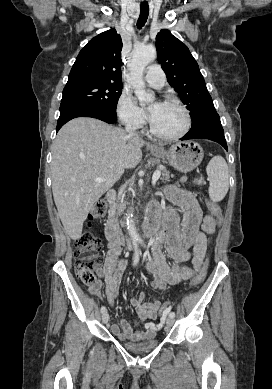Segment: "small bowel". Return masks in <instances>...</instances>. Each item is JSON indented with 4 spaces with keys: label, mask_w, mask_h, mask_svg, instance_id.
<instances>
[{
    "label": "small bowel",
    "mask_w": 272,
    "mask_h": 389,
    "mask_svg": "<svg viewBox=\"0 0 272 389\" xmlns=\"http://www.w3.org/2000/svg\"><path fill=\"white\" fill-rule=\"evenodd\" d=\"M171 203L182 211L180 216L175 210H169L164 217V227L159 233L153 247V257L150 259L147 272L154 277L153 288L165 292L168 285H176L189 280L203 264L207 251V234H212L216 228V220L212 214L204 215L194 195L188 191L171 186L166 191ZM158 206L152 210L157 212ZM182 219L183 228L180 227ZM164 246L169 256L176 263L166 261L161 246ZM120 246L109 243L105 264L97 267L98 280L89 288L91 294L98 293L103 282L106 295L111 305L117 298L126 270L127 262L120 259ZM192 262V267L186 265ZM131 306L144 325V330L133 331L129 323L121 319L111 326V332L120 340L142 341L154 337L158 326L153 323L157 318L161 301L145 302L144 295L130 299Z\"/></svg>",
    "instance_id": "small-bowel-1"
}]
</instances>
